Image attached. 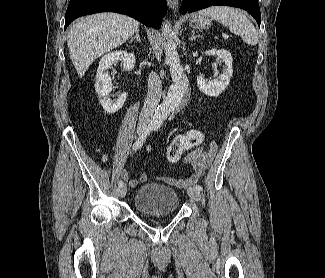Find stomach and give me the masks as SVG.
<instances>
[{"instance_id":"1","label":"stomach","mask_w":325,"mask_h":278,"mask_svg":"<svg viewBox=\"0 0 325 278\" xmlns=\"http://www.w3.org/2000/svg\"><path fill=\"white\" fill-rule=\"evenodd\" d=\"M189 24L194 29H205L211 25V20L200 14H192Z\"/></svg>"}]
</instances>
